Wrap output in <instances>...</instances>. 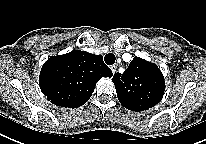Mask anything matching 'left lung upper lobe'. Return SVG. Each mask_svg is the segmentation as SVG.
<instances>
[{
  "instance_id": "5c2ea615",
  "label": "left lung upper lobe",
  "mask_w": 206,
  "mask_h": 144,
  "mask_svg": "<svg viewBox=\"0 0 206 144\" xmlns=\"http://www.w3.org/2000/svg\"><path fill=\"white\" fill-rule=\"evenodd\" d=\"M112 81L120 103L140 112L158 104L165 90L164 77L153 63L134 57L123 74L116 73Z\"/></svg>"
}]
</instances>
